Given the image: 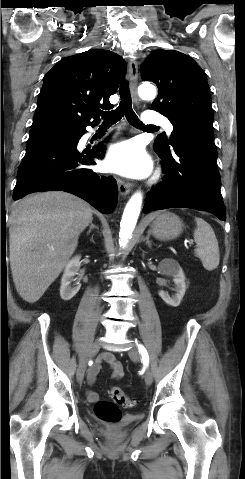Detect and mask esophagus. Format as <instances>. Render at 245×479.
Listing matches in <instances>:
<instances>
[{"label":"esophagus","instance_id":"obj_1","mask_svg":"<svg viewBox=\"0 0 245 479\" xmlns=\"http://www.w3.org/2000/svg\"><path fill=\"white\" fill-rule=\"evenodd\" d=\"M128 79L134 101L137 102L138 65L134 60H130L128 64ZM117 183L119 192L122 196H126L130 193L133 186L130 182H125L118 178Z\"/></svg>","mask_w":245,"mask_h":479}]
</instances>
